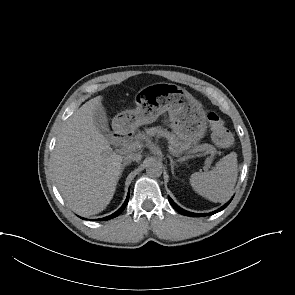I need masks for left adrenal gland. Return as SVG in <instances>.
Segmentation results:
<instances>
[{
  "instance_id": "obj_1",
  "label": "left adrenal gland",
  "mask_w": 295,
  "mask_h": 295,
  "mask_svg": "<svg viewBox=\"0 0 295 295\" xmlns=\"http://www.w3.org/2000/svg\"><path fill=\"white\" fill-rule=\"evenodd\" d=\"M169 160H170V166H171V172H172V175L175 177V174H174V167L176 166V163L175 161L173 160V158L171 156H168Z\"/></svg>"
}]
</instances>
